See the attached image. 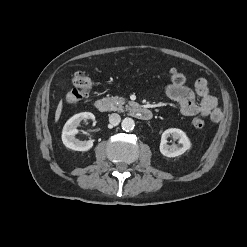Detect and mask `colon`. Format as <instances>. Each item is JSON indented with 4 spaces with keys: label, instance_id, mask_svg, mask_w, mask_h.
<instances>
[{
    "label": "colon",
    "instance_id": "1",
    "mask_svg": "<svg viewBox=\"0 0 247 247\" xmlns=\"http://www.w3.org/2000/svg\"><path fill=\"white\" fill-rule=\"evenodd\" d=\"M170 80L175 85H183L186 78L183 73L173 71L170 75ZM92 88V80L83 73H76L72 79V88L65 94V99L70 104H77L84 100ZM194 128L202 129L204 121L200 118H194L192 121Z\"/></svg>",
    "mask_w": 247,
    "mask_h": 247
}]
</instances>
